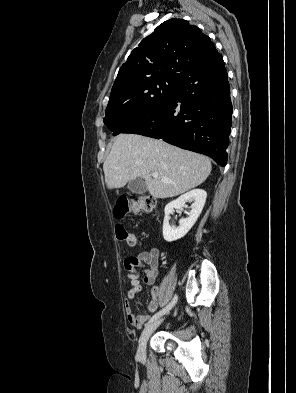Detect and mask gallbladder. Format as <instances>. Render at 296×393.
<instances>
[{
  "label": "gallbladder",
  "mask_w": 296,
  "mask_h": 393,
  "mask_svg": "<svg viewBox=\"0 0 296 393\" xmlns=\"http://www.w3.org/2000/svg\"><path fill=\"white\" fill-rule=\"evenodd\" d=\"M128 189L135 194H144L147 191L145 182L140 178L130 181L128 183Z\"/></svg>",
  "instance_id": "gallbladder-1"
}]
</instances>
